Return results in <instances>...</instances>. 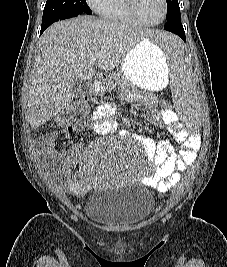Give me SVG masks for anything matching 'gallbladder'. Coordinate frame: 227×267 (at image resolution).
Masks as SVG:
<instances>
[{"instance_id":"bac80fb5","label":"gallbladder","mask_w":227,"mask_h":267,"mask_svg":"<svg viewBox=\"0 0 227 267\" xmlns=\"http://www.w3.org/2000/svg\"><path fill=\"white\" fill-rule=\"evenodd\" d=\"M89 86L87 83L77 80L73 84V93L76 97H79L88 91Z\"/></svg>"}]
</instances>
